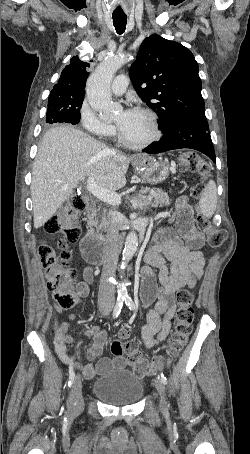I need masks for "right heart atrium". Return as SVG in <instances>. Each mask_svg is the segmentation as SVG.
<instances>
[{
	"label": "right heart atrium",
	"instance_id": "obj_1",
	"mask_svg": "<svg viewBox=\"0 0 250 454\" xmlns=\"http://www.w3.org/2000/svg\"><path fill=\"white\" fill-rule=\"evenodd\" d=\"M79 116L81 126L85 132L100 138L108 137L114 133L113 125L103 121L92 109L87 99H84L81 104Z\"/></svg>",
	"mask_w": 250,
	"mask_h": 454
}]
</instances>
